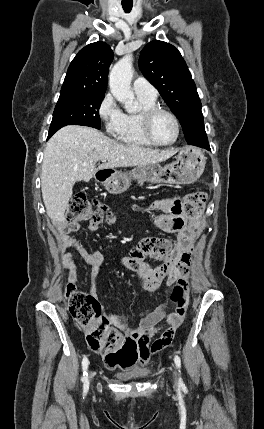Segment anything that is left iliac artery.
I'll return each instance as SVG.
<instances>
[{
	"label": "left iliac artery",
	"instance_id": "left-iliac-artery-1",
	"mask_svg": "<svg viewBox=\"0 0 264 429\" xmlns=\"http://www.w3.org/2000/svg\"><path fill=\"white\" fill-rule=\"evenodd\" d=\"M174 362H175V365H176V367L178 368V370H179V372H180L181 359H180V357H179L178 355H176V356L174 357ZM179 382H180V384H181V385H183V381H182V379H181V378L179 379Z\"/></svg>",
	"mask_w": 264,
	"mask_h": 429
}]
</instances>
